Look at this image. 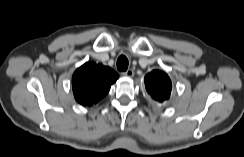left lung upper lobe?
<instances>
[{
	"mask_svg": "<svg viewBox=\"0 0 244 157\" xmlns=\"http://www.w3.org/2000/svg\"><path fill=\"white\" fill-rule=\"evenodd\" d=\"M145 86L151 97L163 102L170 97L172 83L166 73L160 70H153L145 76Z\"/></svg>",
	"mask_w": 244,
	"mask_h": 157,
	"instance_id": "5c2ea615",
	"label": "left lung upper lobe"
}]
</instances>
